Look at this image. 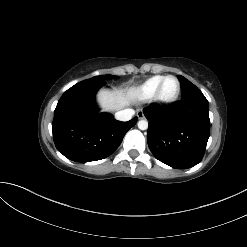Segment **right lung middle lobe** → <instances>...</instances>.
I'll list each match as a JSON object with an SVG mask.
<instances>
[{"mask_svg":"<svg viewBox=\"0 0 247 247\" xmlns=\"http://www.w3.org/2000/svg\"><path fill=\"white\" fill-rule=\"evenodd\" d=\"M115 76L113 75H101V76H95L92 79L84 80L85 82H90V83H97L100 80H103L104 78H114Z\"/></svg>","mask_w":247,"mask_h":247,"instance_id":"dd1d6c3e","label":"right lung middle lobe"}]
</instances>
